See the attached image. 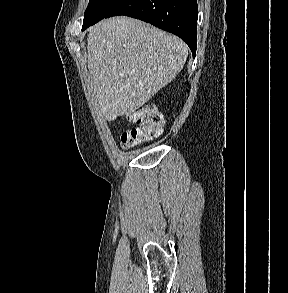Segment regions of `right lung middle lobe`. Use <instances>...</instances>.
Wrapping results in <instances>:
<instances>
[{
	"label": "right lung middle lobe",
	"instance_id": "dd1d6c3e",
	"mask_svg": "<svg viewBox=\"0 0 288 293\" xmlns=\"http://www.w3.org/2000/svg\"><path fill=\"white\" fill-rule=\"evenodd\" d=\"M124 0H90L85 11L82 30L105 18Z\"/></svg>",
	"mask_w": 288,
	"mask_h": 293
}]
</instances>
